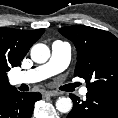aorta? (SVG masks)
<instances>
[{"label": "aorta", "instance_id": "obj_1", "mask_svg": "<svg viewBox=\"0 0 118 118\" xmlns=\"http://www.w3.org/2000/svg\"><path fill=\"white\" fill-rule=\"evenodd\" d=\"M31 59L36 63H45L50 58V50L47 45L38 43L31 48ZM73 107L72 100L68 97H60L56 101V109L61 113H68Z\"/></svg>", "mask_w": 118, "mask_h": 118}]
</instances>
